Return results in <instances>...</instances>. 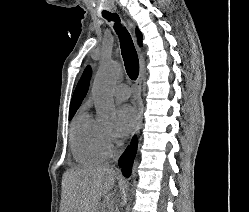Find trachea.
I'll list each match as a JSON object with an SVG mask.
<instances>
[{"label":"trachea","instance_id":"3493384b","mask_svg":"<svg viewBox=\"0 0 249 212\" xmlns=\"http://www.w3.org/2000/svg\"><path fill=\"white\" fill-rule=\"evenodd\" d=\"M102 15L109 21H116L115 30L120 39L121 52L127 74L132 80H136L139 74V60L130 34L120 25L117 13H103Z\"/></svg>","mask_w":249,"mask_h":212}]
</instances>
